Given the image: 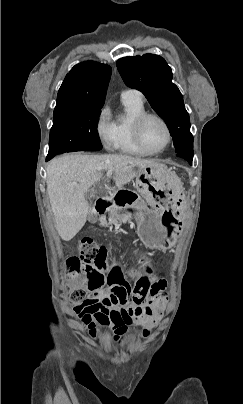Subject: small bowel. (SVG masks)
I'll return each mask as SVG.
<instances>
[{
	"label": "small bowel",
	"mask_w": 243,
	"mask_h": 404,
	"mask_svg": "<svg viewBox=\"0 0 243 404\" xmlns=\"http://www.w3.org/2000/svg\"><path fill=\"white\" fill-rule=\"evenodd\" d=\"M150 276L151 273L141 276L131 286L121 270L114 267L107 276L94 277L100 282L99 286L87 283L89 295L75 304L73 311L93 337L101 328H106L113 332L115 342H121L133 324L142 325L144 336H148L149 330L161 319L167 300V283L154 281ZM134 292H143L144 301L130 304L128 298Z\"/></svg>",
	"instance_id": "c3829d8e"
}]
</instances>
